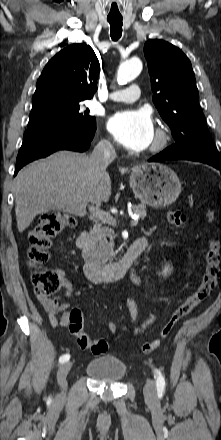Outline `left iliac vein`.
Segmentation results:
<instances>
[{"label": "left iliac vein", "instance_id": "left-iliac-vein-1", "mask_svg": "<svg viewBox=\"0 0 221 440\" xmlns=\"http://www.w3.org/2000/svg\"><path fill=\"white\" fill-rule=\"evenodd\" d=\"M144 396L147 400H154L156 398V385L153 379H149L145 384Z\"/></svg>", "mask_w": 221, "mask_h": 440}]
</instances>
